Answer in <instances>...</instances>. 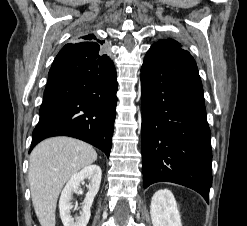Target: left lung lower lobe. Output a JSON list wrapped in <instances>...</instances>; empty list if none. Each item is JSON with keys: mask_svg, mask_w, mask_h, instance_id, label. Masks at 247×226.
Listing matches in <instances>:
<instances>
[{"mask_svg": "<svg viewBox=\"0 0 247 226\" xmlns=\"http://www.w3.org/2000/svg\"><path fill=\"white\" fill-rule=\"evenodd\" d=\"M143 186L166 181L209 200L211 133L196 62L183 48L151 46L141 69Z\"/></svg>", "mask_w": 247, "mask_h": 226, "instance_id": "0a47b994", "label": "left lung lower lobe"}]
</instances>
